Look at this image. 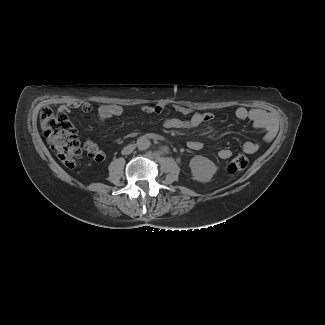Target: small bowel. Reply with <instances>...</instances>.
<instances>
[{"label":"small bowel","instance_id":"small-bowel-1","mask_svg":"<svg viewBox=\"0 0 325 325\" xmlns=\"http://www.w3.org/2000/svg\"><path fill=\"white\" fill-rule=\"evenodd\" d=\"M172 109L175 112L187 116L186 119L180 118H165L162 125L167 129H192L203 123L210 122L213 119V114L206 112L194 111L182 105H170L168 103H160L155 106H144L143 112L146 114H161L167 109ZM74 109H81L85 113H90L92 106L89 102H73L66 106H59L57 108V121L66 129V131L76 135L78 129L76 124L71 120L69 111ZM122 107L119 105H102L97 110L99 120L105 121L107 119L118 117L122 114ZM235 116L239 120H250L256 128L264 131V139L271 140L274 137L276 127L273 117L268 115L261 109H248L244 106H239L235 110ZM189 149L197 151L202 148V142L199 140H190L187 143ZM85 150L88 156L95 161H103L106 158V153L101 150L92 140L87 139L84 142ZM260 148L257 142L248 141L242 145V151L247 154H254ZM232 156V151L228 148H223L219 151V157L223 160L229 159Z\"/></svg>","mask_w":325,"mask_h":325}]
</instances>
